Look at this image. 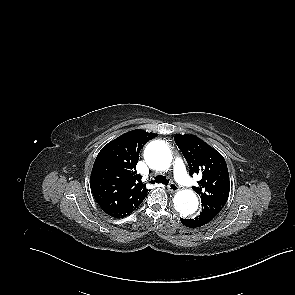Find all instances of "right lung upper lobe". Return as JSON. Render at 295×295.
Returning <instances> with one entry per match:
<instances>
[{
  "label": "right lung upper lobe",
  "instance_id": "obj_1",
  "mask_svg": "<svg viewBox=\"0 0 295 295\" xmlns=\"http://www.w3.org/2000/svg\"><path fill=\"white\" fill-rule=\"evenodd\" d=\"M156 136L144 130H133L109 142L97 155L91 172V189L108 215L125 217L149 193L135 167L141 148Z\"/></svg>",
  "mask_w": 295,
  "mask_h": 295
}]
</instances>
